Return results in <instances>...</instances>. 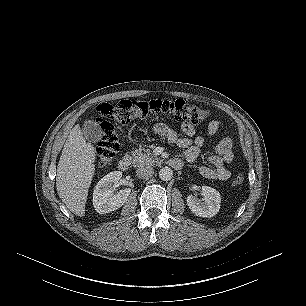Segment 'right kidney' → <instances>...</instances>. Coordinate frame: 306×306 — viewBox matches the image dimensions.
Wrapping results in <instances>:
<instances>
[{
    "label": "right kidney",
    "mask_w": 306,
    "mask_h": 306,
    "mask_svg": "<svg viewBox=\"0 0 306 306\" xmlns=\"http://www.w3.org/2000/svg\"><path fill=\"white\" fill-rule=\"evenodd\" d=\"M121 171H113L104 176L95 186L93 206L99 214H105L119 209L127 201L131 190L125 188L113 194V187L119 183Z\"/></svg>",
    "instance_id": "ca27d5eb"
}]
</instances>
